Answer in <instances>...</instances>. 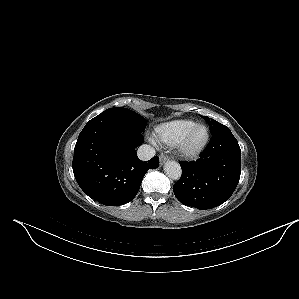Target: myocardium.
I'll list each match as a JSON object with an SVG mask.
<instances>
[{
    "label": "myocardium",
    "instance_id": "obj_1",
    "mask_svg": "<svg viewBox=\"0 0 299 299\" xmlns=\"http://www.w3.org/2000/svg\"><path fill=\"white\" fill-rule=\"evenodd\" d=\"M200 128H203L205 130V137L199 145L192 147L190 145V140L193 134L195 133V131ZM209 140H210V131L208 127L204 124H196L177 143V152L181 157L185 159H193L199 156L205 150V148L209 143Z\"/></svg>",
    "mask_w": 299,
    "mask_h": 299
}]
</instances>
